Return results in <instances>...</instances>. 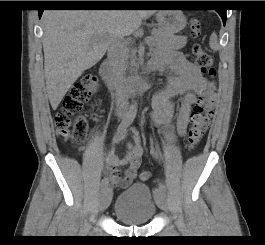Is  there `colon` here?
<instances>
[{"mask_svg":"<svg viewBox=\"0 0 265 245\" xmlns=\"http://www.w3.org/2000/svg\"><path fill=\"white\" fill-rule=\"evenodd\" d=\"M200 28V22L196 19L193 20L191 23L193 36L199 34ZM192 56L196 66L204 76L210 79V82L205 88V96L195 105L191 115L186 144L188 150L194 149L202 141L214 112L213 97L217 93V85L214 80L216 68L212 55L202 46L194 45L192 47ZM94 81L95 77L88 75L82 82L77 83L63 101L62 110L55 116V126L60 135L67 141L79 143L86 136L87 122L83 111L85 102L90 96L89 88ZM150 176V172L144 170L139 173L138 177L141 181H146Z\"/></svg>","mask_w":265,"mask_h":245,"instance_id":"5ec220e1","label":"colon"}]
</instances>
